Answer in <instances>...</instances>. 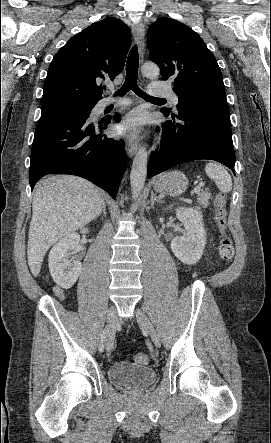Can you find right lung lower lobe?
I'll list each match as a JSON object with an SVG mask.
<instances>
[{"label":"right lung lower lobe","mask_w":271,"mask_h":443,"mask_svg":"<svg viewBox=\"0 0 271 443\" xmlns=\"http://www.w3.org/2000/svg\"><path fill=\"white\" fill-rule=\"evenodd\" d=\"M90 112L61 110L41 115L31 151L32 189L47 174H71L88 179L116 197L126 168L124 141L102 134L111 117L90 122ZM114 120L119 122V115Z\"/></svg>","instance_id":"right-lung-lower-lobe-1"}]
</instances>
